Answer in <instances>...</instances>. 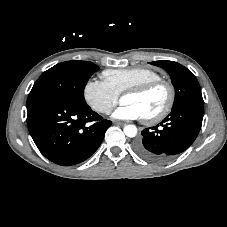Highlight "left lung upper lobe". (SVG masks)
<instances>
[{
    "label": "left lung upper lobe",
    "mask_w": 227,
    "mask_h": 227,
    "mask_svg": "<svg viewBox=\"0 0 227 227\" xmlns=\"http://www.w3.org/2000/svg\"><path fill=\"white\" fill-rule=\"evenodd\" d=\"M150 64L163 68L170 75L175 88V99L172 108L188 102L204 104L200 85L194 74L186 67L177 62L167 60L154 61L150 62Z\"/></svg>",
    "instance_id": "1"
}]
</instances>
